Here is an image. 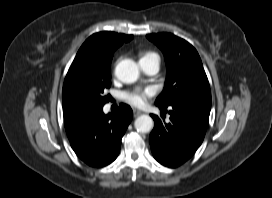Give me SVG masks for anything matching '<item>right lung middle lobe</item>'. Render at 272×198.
Returning a JSON list of instances; mask_svg holds the SVG:
<instances>
[{"label":"right lung middle lobe","mask_w":272,"mask_h":198,"mask_svg":"<svg viewBox=\"0 0 272 198\" xmlns=\"http://www.w3.org/2000/svg\"><path fill=\"white\" fill-rule=\"evenodd\" d=\"M111 85V71L101 72L81 88V98L85 108H100L108 101L104 90Z\"/></svg>","instance_id":"dd1d6c3e"}]
</instances>
